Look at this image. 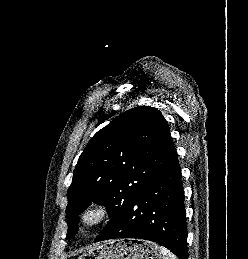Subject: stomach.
Segmentation results:
<instances>
[{"instance_id":"0dacf381","label":"stomach","mask_w":248,"mask_h":259,"mask_svg":"<svg viewBox=\"0 0 248 259\" xmlns=\"http://www.w3.org/2000/svg\"><path fill=\"white\" fill-rule=\"evenodd\" d=\"M78 259H162L156 243L140 239H123L104 243L81 254Z\"/></svg>"}]
</instances>
